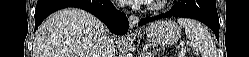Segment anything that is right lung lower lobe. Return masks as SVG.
<instances>
[{"instance_id": "1", "label": "right lung lower lobe", "mask_w": 249, "mask_h": 57, "mask_svg": "<svg viewBox=\"0 0 249 57\" xmlns=\"http://www.w3.org/2000/svg\"><path fill=\"white\" fill-rule=\"evenodd\" d=\"M67 7L81 8L92 13L116 34H125L129 29L126 15L116 10L110 0H38L35 30L51 13Z\"/></svg>"}]
</instances>
